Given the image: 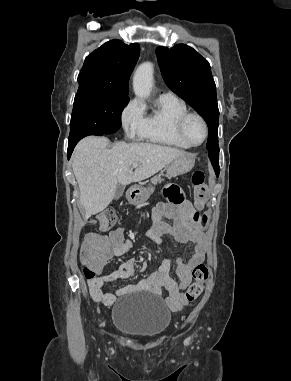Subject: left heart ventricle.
I'll return each instance as SVG.
<instances>
[{
	"mask_svg": "<svg viewBox=\"0 0 291 381\" xmlns=\"http://www.w3.org/2000/svg\"><path fill=\"white\" fill-rule=\"evenodd\" d=\"M186 133L193 143H200L204 136L201 122L195 118H190L186 123Z\"/></svg>",
	"mask_w": 291,
	"mask_h": 381,
	"instance_id": "1",
	"label": "left heart ventricle"
}]
</instances>
